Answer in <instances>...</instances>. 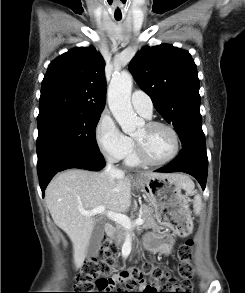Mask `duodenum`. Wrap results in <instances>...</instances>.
<instances>
[{"instance_id":"1","label":"duodenum","mask_w":245,"mask_h":293,"mask_svg":"<svg viewBox=\"0 0 245 293\" xmlns=\"http://www.w3.org/2000/svg\"><path fill=\"white\" fill-rule=\"evenodd\" d=\"M105 233L108 236H111L113 234V226L111 224H106V226H105Z\"/></svg>"}]
</instances>
